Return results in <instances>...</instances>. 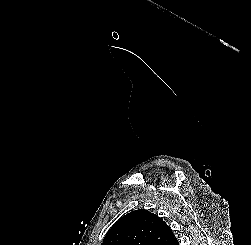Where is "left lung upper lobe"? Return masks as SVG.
Here are the masks:
<instances>
[{
    "instance_id": "left-lung-upper-lobe-1",
    "label": "left lung upper lobe",
    "mask_w": 251,
    "mask_h": 245,
    "mask_svg": "<svg viewBox=\"0 0 251 245\" xmlns=\"http://www.w3.org/2000/svg\"><path fill=\"white\" fill-rule=\"evenodd\" d=\"M101 245H179V242L160 217L139 209L121 217Z\"/></svg>"
}]
</instances>
